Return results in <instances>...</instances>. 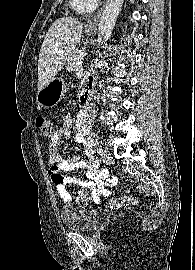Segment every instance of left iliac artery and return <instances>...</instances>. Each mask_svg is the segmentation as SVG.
<instances>
[{"mask_svg": "<svg viewBox=\"0 0 195 270\" xmlns=\"http://www.w3.org/2000/svg\"><path fill=\"white\" fill-rule=\"evenodd\" d=\"M97 151H98L99 154L102 155L103 150H102V148L100 146L97 148Z\"/></svg>", "mask_w": 195, "mask_h": 270, "instance_id": "obj_1", "label": "left iliac artery"}]
</instances>
